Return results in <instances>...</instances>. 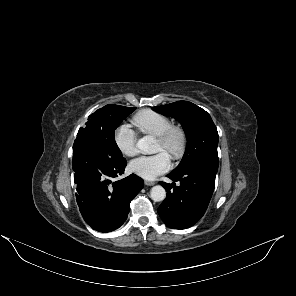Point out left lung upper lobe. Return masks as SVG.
<instances>
[{
  "label": "left lung upper lobe",
  "instance_id": "5c2ea615",
  "mask_svg": "<svg viewBox=\"0 0 296 296\" xmlns=\"http://www.w3.org/2000/svg\"><path fill=\"white\" fill-rule=\"evenodd\" d=\"M152 109L178 119L187 134L185 154L173 173L200 162L218 161V132L208 112L188 101H178Z\"/></svg>",
  "mask_w": 296,
  "mask_h": 296
}]
</instances>
